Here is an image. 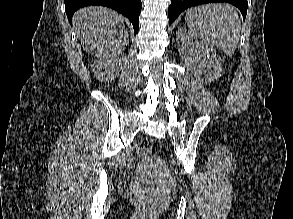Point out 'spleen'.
<instances>
[{
    "instance_id": "3e777b00",
    "label": "spleen",
    "mask_w": 293,
    "mask_h": 219,
    "mask_svg": "<svg viewBox=\"0 0 293 219\" xmlns=\"http://www.w3.org/2000/svg\"><path fill=\"white\" fill-rule=\"evenodd\" d=\"M186 22L191 33L200 40L227 55L236 51L241 22L233 6L214 3L191 8L186 13Z\"/></svg>"
}]
</instances>
